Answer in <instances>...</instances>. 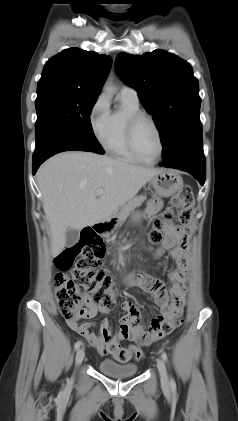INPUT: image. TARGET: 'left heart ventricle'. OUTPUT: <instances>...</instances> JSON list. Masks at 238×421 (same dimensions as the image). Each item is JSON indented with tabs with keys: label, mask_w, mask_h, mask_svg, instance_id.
<instances>
[{
	"label": "left heart ventricle",
	"mask_w": 238,
	"mask_h": 421,
	"mask_svg": "<svg viewBox=\"0 0 238 421\" xmlns=\"http://www.w3.org/2000/svg\"><path fill=\"white\" fill-rule=\"evenodd\" d=\"M135 147L138 154L145 160L151 161L159 152L157 133L148 120H141L135 131Z\"/></svg>",
	"instance_id": "left-heart-ventricle-1"
}]
</instances>
